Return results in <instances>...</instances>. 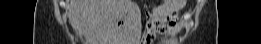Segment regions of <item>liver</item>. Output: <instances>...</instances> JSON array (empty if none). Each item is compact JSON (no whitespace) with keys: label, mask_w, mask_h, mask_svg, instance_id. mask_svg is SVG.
I'll list each match as a JSON object with an SVG mask.
<instances>
[{"label":"liver","mask_w":261,"mask_h":44,"mask_svg":"<svg viewBox=\"0 0 261 44\" xmlns=\"http://www.w3.org/2000/svg\"><path fill=\"white\" fill-rule=\"evenodd\" d=\"M80 19L86 44H135L143 25L138 24V7L132 0H71Z\"/></svg>","instance_id":"liver-1"}]
</instances>
